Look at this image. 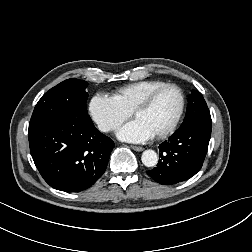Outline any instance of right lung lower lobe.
I'll list each match as a JSON object with an SVG mask.
<instances>
[{"mask_svg": "<svg viewBox=\"0 0 252 252\" xmlns=\"http://www.w3.org/2000/svg\"><path fill=\"white\" fill-rule=\"evenodd\" d=\"M30 152L44 180L53 188L79 192L104 173L114 142L90 120L62 117L29 125Z\"/></svg>", "mask_w": 252, "mask_h": 252, "instance_id": "obj_1", "label": "right lung lower lobe"}]
</instances>
